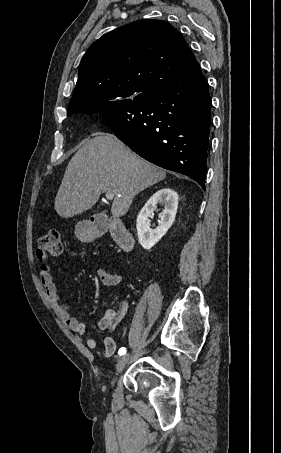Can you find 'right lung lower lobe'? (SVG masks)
I'll use <instances>...</instances> for the list:
<instances>
[{
    "label": "right lung lower lobe",
    "instance_id": "obj_1",
    "mask_svg": "<svg viewBox=\"0 0 281 453\" xmlns=\"http://www.w3.org/2000/svg\"><path fill=\"white\" fill-rule=\"evenodd\" d=\"M95 112L138 155L189 176L205 190L211 97L198 63L129 101L85 113Z\"/></svg>",
    "mask_w": 281,
    "mask_h": 453
}]
</instances>
